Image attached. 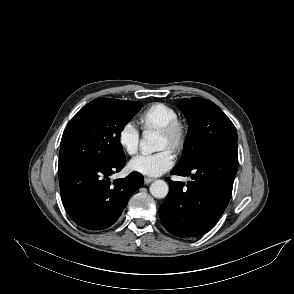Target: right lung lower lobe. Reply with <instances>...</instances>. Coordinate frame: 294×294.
Listing matches in <instances>:
<instances>
[{"label":"right lung lower lobe","instance_id":"obj_1","mask_svg":"<svg viewBox=\"0 0 294 294\" xmlns=\"http://www.w3.org/2000/svg\"><path fill=\"white\" fill-rule=\"evenodd\" d=\"M125 159L100 165H81L59 170L63 205L71 219L89 230L110 227L120 217L130 196L143 185V176L132 172L111 183Z\"/></svg>","mask_w":294,"mask_h":294}]
</instances>
